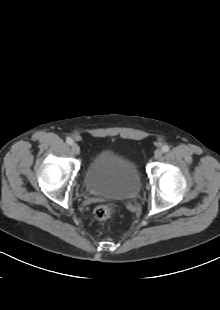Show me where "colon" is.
Returning a JSON list of instances; mask_svg holds the SVG:
<instances>
[{
  "instance_id": "1",
  "label": "colon",
  "mask_w": 220,
  "mask_h": 310,
  "mask_svg": "<svg viewBox=\"0 0 220 310\" xmlns=\"http://www.w3.org/2000/svg\"><path fill=\"white\" fill-rule=\"evenodd\" d=\"M115 213V207L111 204L99 205L94 210V216L99 220H107Z\"/></svg>"
}]
</instances>
